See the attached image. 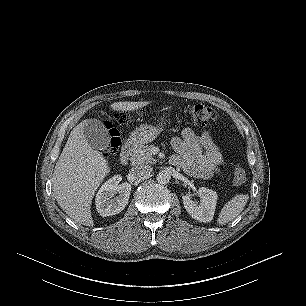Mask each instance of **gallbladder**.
<instances>
[{"label":"gallbladder","instance_id":"bac80fb5","mask_svg":"<svg viewBox=\"0 0 306 306\" xmlns=\"http://www.w3.org/2000/svg\"><path fill=\"white\" fill-rule=\"evenodd\" d=\"M83 134L88 144L93 149H106L109 146L110 137L104 124L97 119H89L85 125Z\"/></svg>","mask_w":306,"mask_h":306}]
</instances>
